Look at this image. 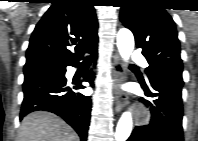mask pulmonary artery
<instances>
[{"instance_id":"obj_1","label":"pulmonary artery","mask_w":198,"mask_h":141,"mask_svg":"<svg viewBox=\"0 0 198 141\" xmlns=\"http://www.w3.org/2000/svg\"><path fill=\"white\" fill-rule=\"evenodd\" d=\"M133 62L137 63L139 65H142V66H146L147 65L145 58L143 56H141V55H134L133 56Z\"/></svg>"}]
</instances>
